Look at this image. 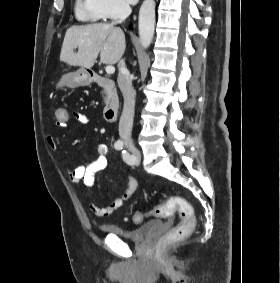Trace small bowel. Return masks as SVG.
Masks as SVG:
<instances>
[{"mask_svg":"<svg viewBox=\"0 0 280 283\" xmlns=\"http://www.w3.org/2000/svg\"><path fill=\"white\" fill-rule=\"evenodd\" d=\"M73 116L76 121L82 125L88 123L87 116L81 112H73ZM66 123L67 122H56V126L58 128H63L66 126ZM46 144L51 150H57V141L53 134H48L46 136ZM96 151V156L88 159L84 164L68 168V176L73 183H82L85 186L90 187L94 183L95 175L107 167L108 161L106 146L100 144L97 146ZM137 187V180L134 178H129L127 186L120 197L114 199L105 207H102L96 203H90L89 208L92 213L98 217H108L122 207L124 202L135 193Z\"/></svg>","mask_w":280,"mask_h":283,"instance_id":"small-bowel-1","label":"small bowel"}]
</instances>
